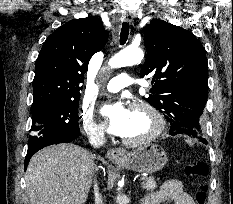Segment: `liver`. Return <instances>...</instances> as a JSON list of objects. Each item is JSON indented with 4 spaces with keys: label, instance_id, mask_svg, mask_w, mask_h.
<instances>
[{
    "label": "liver",
    "instance_id": "6515ba94",
    "mask_svg": "<svg viewBox=\"0 0 233 204\" xmlns=\"http://www.w3.org/2000/svg\"><path fill=\"white\" fill-rule=\"evenodd\" d=\"M94 172L93 155L72 143L48 146L37 152L26 171L31 204H84Z\"/></svg>",
    "mask_w": 233,
    "mask_h": 204
}]
</instances>
